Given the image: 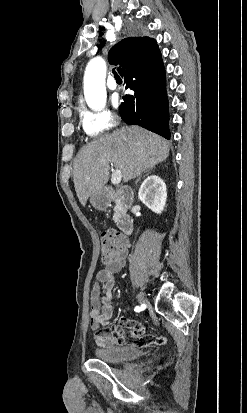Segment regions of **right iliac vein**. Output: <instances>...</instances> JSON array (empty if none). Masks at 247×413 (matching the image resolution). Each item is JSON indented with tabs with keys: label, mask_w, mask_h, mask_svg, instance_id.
<instances>
[{
	"label": "right iliac vein",
	"mask_w": 247,
	"mask_h": 413,
	"mask_svg": "<svg viewBox=\"0 0 247 413\" xmlns=\"http://www.w3.org/2000/svg\"><path fill=\"white\" fill-rule=\"evenodd\" d=\"M137 300H138L139 303H147L148 302L147 297L143 293H139L137 295Z\"/></svg>",
	"instance_id": "obj_1"
}]
</instances>
